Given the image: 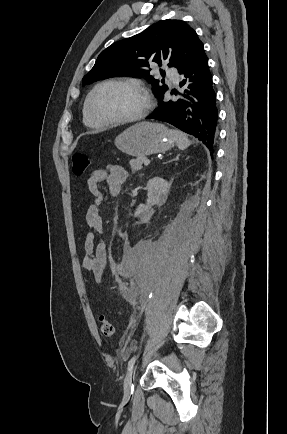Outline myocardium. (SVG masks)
<instances>
[{"instance_id": "1", "label": "myocardium", "mask_w": 287, "mask_h": 434, "mask_svg": "<svg viewBox=\"0 0 287 434\" xmlns=\"http://www.w3.org/2000/svg\"><path fill=\"white\" fill-rule=\"evenodd\" d=\"M110 84H118V85H124V86H128L131 88H134L136 90H138L144 97L145 99V105L142 108V110L140 112H138L136 115L127 117V118H123V119H102L100 117H98L92 108V100L93 97L95 95V93L102 88L103 86L106 85H110ZM152 98L150 95L149 90L147 89V87L141 83L140 81L137 80H133V79H122V78H110V79H106L98 84H96L93 89L90 91V93L88 94L87 98H86V102H85V107H86V111L89 115V117L98 125L100 126H107V125H125V124H131V123H135L138 122L142 119H144L149 111L152 108Z\"/></svg>"}]
</instances>
